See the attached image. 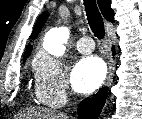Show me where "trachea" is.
<instances>
[{
	"mask_svg": "<svg viewBox=\"0 0 142 119\" xmlns=\"http://www.w3.org/2000/svg\"><path fill=\"white\" fill-rule=\"evenodd\" d=\"M88 24L94 35L102 39L105 34L104 23L95 0H84Z\"/></svg>",
	"mask_w": 142,
	"mask_h": 119,
	"instance_id": "1",
	"label": "trachea"
}]
</instances>
